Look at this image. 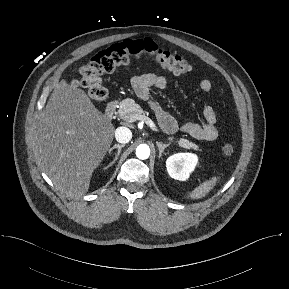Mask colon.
<instances>
[{
  "label": "colon",
  "instance_id": "obj_1",
  "mask_svg": "<svg viewBox=\"0 0 289 289\" xmlns=\"http://www.w3.org/2000/svg\"><path fill=\"white\" fill-rule=\"evenodd\" d=\"M140 58L153 60L160 67L174 74L182 75L190 71V64L183 56L161 49L150 39H128L98 52L86 65L82 66L80 68L81 84L87 89L91 98L104 101L107 97V90L101 76ZM220 152L226 156L232 155L234 147L231 144H224Z\"/></svg>",
  "mask_w": 289,
  "mask_h": 289
}]
</instances>
